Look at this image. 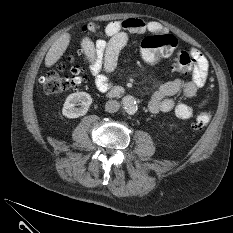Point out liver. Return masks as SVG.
<instances>
[{
    "label": "liver",
    "mask_w": 233,
    "mask_h": 233,
    "mask_svg": "<svg viewBox=\"0 0 233 233\" xmlns=\"http://www.w3.org/2000/svg\"><path fill=\"white\" fill-rule=\"evenodd\" d=\"M70 38L69 33H64L52 44L45 57L46 67L53 66L61 58L70 43Z\"/></svg>",
    "instance_id": "liver-1"
}]
</instances>
